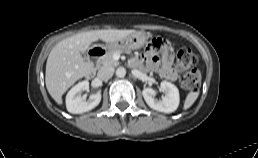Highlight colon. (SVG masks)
I'll list each match as a JSON object with an SVG mask.
<instances>
[{"instance_id": "1", "label": "colon", "mask_w": 258, "mask_h": 158, "mask_svg": "<svg viewBox=\"0 0 258 158\" xmlns=\"http://www.w3.org/2000/svg\"><path fill=\"white\" fill-rule=\"evenodd\" d=\"M164 40L162 38L153 39L149 45L154 49H160ZM198 59L189 48H181L177 54V67L184 71L180 77V85L186 90H195L200 84V72L196 68Z\"/></svg>"}]
</instances>
